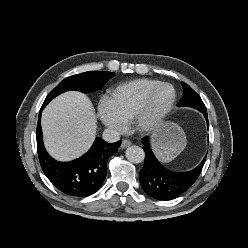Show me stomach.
<instances>
[{
    "label": "stomach",
    "instance_id": "obj_1",
    "mask_svg": "<svg viewBox=\"0 0 248 248\" xmlns=\"http://www.w3.org/2000/svg\"><path fill=\"white\" fill-rule=\"evenodd\" d=\"M151 142L159 160L168 163L184 150L187 140L179 125L166 122L153 132Z\"/></svg>",
    "mask_w": 248,
    "mask_h": 248
}]
</instances>
